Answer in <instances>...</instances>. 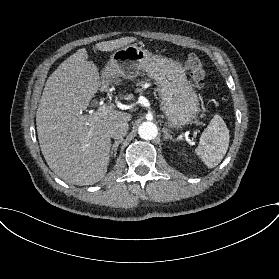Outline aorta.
<instances>
[{"instance_id":"aorta-1","label":"aorta","mask_w":279,"mask_h":279,"mask_svg":"<svg viewBox=\"0 0 279 279\" xmlns=\"http://www.w3.org/2000/svg\"><path fill=\"white\" fill-rule=\"evenodd\" d=\"M138 134L144 140H152L158 134L157 126L150 121L143 122L138 128Z\"/></svg>"}]
</instances>
